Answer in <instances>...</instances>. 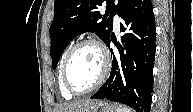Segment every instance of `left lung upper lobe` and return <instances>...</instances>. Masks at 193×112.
Segmentation results:
<instances>
[{
	"label": "left lung upper lobe",
	"instance_id": "obj_1",
	"mask_svg": "<svg viewBox=\"0 0 193 112\" xmlns=\"http://www.w3.org/2000/svg\"><path fill=\"white\" fill-rule=\"evenodd\" d=\"M132 0H55L54 18L50 26L52 67L67 45L79 34L95 32L104 43L110 38L112 16L121 15ZM106 3L105 15L97 10Z\"/></svg>",
	"mask_w": 193,
	"mask_h": 112
}]
</instances>
